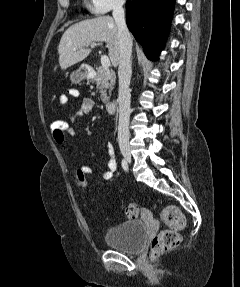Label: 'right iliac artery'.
I'll return each instance as SVG.
<instances>
[{
	"label": "right iliac artery",
	"instance_id": "obj_1",
	"mask_svg": "<svg viewBox=\"0 0 240 287\" xmlns=\"http://www.w3.org/2000/svg\"><path fill=\"white\" fill-rule=\"evenodd\" d=\"M121 165H122V168L127 171L128 170V164L127 162L123 159L122 162H121Z\"/></svg>",
	"mask_w": 240,
	"mask_h": 287
}]
</instances>
